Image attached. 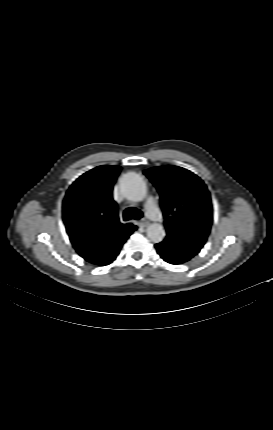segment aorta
<instances>
[{"label": "aorta", "mask_w": 273, "mask_h": 430, "mask_svg": "<svg viewBox=\"0 0 273 430\" xmlns=\"http://www.w3.org/2000/svg\"><path fill=\"white\" fill-rule=\"evenodd\" d=\"M123 195L130 201L139 202L145 199L147 187L144 180L136 173L125 174L120 181ZM147 236L153 243L161 242L165 237V230L161 224H150L146 230Z\"/></svg>", "instance_id": "762f6f07"}]
</instances>
